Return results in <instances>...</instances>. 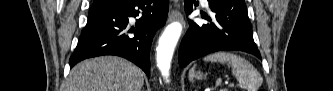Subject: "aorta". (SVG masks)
Returning a JSON list of instances; mask_svg holds the SVG:
<instances>
[{
  "label": "aorta",
  "mask_w": 333,
  "mask_h": 91,
  "mask_svg": "<svg viewBox=\"0 0 333 91\" xmlns=\"http://www.w3.org/2000/svg\"><path fill=\"white\" fill-rule=\"evenodd\" d=\"M182 25L179 22L169 24L159 38L157 48V65L162 76L167 79L174 49L180 38Z\"/></svg>",
  "instance_id": "aorta-1"
}]
</instances>
